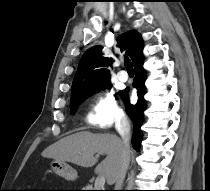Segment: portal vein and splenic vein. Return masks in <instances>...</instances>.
Masks as SVG:
<instances>
[{
    "label": "portal vein and splenic vein",
    "mask_w": 210,
    "mask_h": 191,
    "mask_svg": "<svg viewBox=\"0 0 210 191\" xmlns=\"http://www.w3.org/2000/svg\"><path fill=\"white\" fill-rule=\"evenodd\" d=\"M105 184L104 175H99L95 180V190H101Z\"/></svg>",
    "instance_id": "portal-vein-and-splenic-vein-1"
}]
</instances>
